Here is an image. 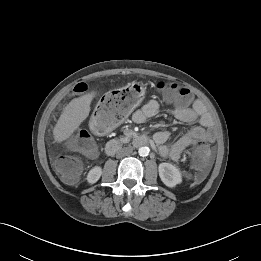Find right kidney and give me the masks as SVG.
<instances>
[{
	"instance_id": "right-kidney-1",
	"label": "right kidney",
	"mask_w": 261,
	"mask_h": 261,
	"mask_svg": "<svg viewBox=\"0 0 261 261\" xmlns=\"http://www.w3.org/2000/svg\"><path fill=\"white\" fill-rule=\"evenodd\" d=\"M101 174H102V168L101 167H99V166L93 167L88 172V175H87L88 183H90V184L96 183L99 180V178L101 177Z\"/></svg>"
}]
</instances>
